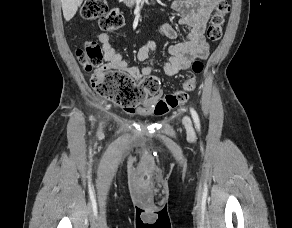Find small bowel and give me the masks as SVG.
<instances>
[{
    "mask_svg": "<svg viewBox=\"0 0 292 228\" xmlns=\"http://www.w3.org/2000/svg\"><path fill=\"white\" fill-rule=\"evenodd\" d=\"M217 0H174L172 8L179 15V23L189 29L185 39L181 42L169 46V58L162 64L164 73L174 76L181 71L187 70L191 66L193 59H206L209 55V44L204 36L206 25L213 11ZM158 32L170 39L177 37V30L169 24L161 25ZM103 50L105 64L102 71L119 70L127 73L133 79L139 81L150 76L154 71V64L151 63L139 69L130 66L115 48L110 44V31H102L98 35ZM157 50L156 43L151 39L136 51L138 61H146L150 54ZM160 90L149 96L143 104L136 109L140 115H151L155 112V106L159 101ZM127 113H135V110L125 109ZM158 115V114H157Z\"/></svg>",
    "mask_w": 292,
    "mask_h": 228,
    "instance_id": "obj_1",
    "label": "small bowel"
}]
</instances>
